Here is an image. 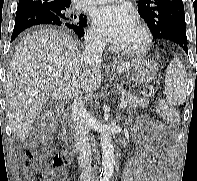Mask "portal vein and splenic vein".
<instances>
[{
  "instance_id": "1",
  "label": "portal vein and splenic vein",
  "mask_w": 197,
  "mask_h": 181,
  "mask_svg": "<svg viewBox=\"0 0 197 181\" xmlns=\"http://www.w3.org/2000/svg\"><path fill=\"white\" fill-rule=\"evenodd\" d=\"M52 77H61V72H55V73H52ZM127 106V102H124V101H122L121 103H120V107L121 108H125Z\"/></svg>"
}]
</instances>
